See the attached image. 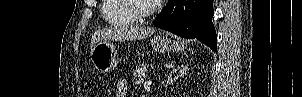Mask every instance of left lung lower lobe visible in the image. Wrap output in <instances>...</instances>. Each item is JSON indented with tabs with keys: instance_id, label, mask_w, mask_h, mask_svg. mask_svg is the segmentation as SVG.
Segmentation results:
<instances>
[{
	"instance_id": "1",
	"label": "left lung lower lobe",
	"mask_w": 302,
	"mask_h": 97,
	"mask_svg": "<svg viewBox=\"0 0 302 97\" xmlns=\"http://www.w3.org/2000/svg\"><path fill=\"white\" fill-rule=\"evenodd\" d=\"M213 0H168L154 24L178 36L198 39L217 50V36L212 23Z\"/></svg>"
}]
</instances>
